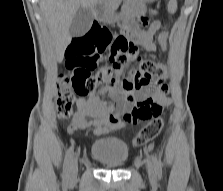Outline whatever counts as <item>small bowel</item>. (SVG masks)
Returning <instances> with one entry per match:
<instances>
[{
  "mask_svg": "<svg viewBox=\"0 0 223 191\" xmlns=\"http://www.w3.org/2000/svg\"><path fill=\"white\" fill-rule=\"evenodd\" d=\"M92 27L102 26L97 24ZM159 27V22L153 21L141 32L125 29L124 34H131L153 57L156 50L153 37ZM162 79H153L150 84L134 89L125 87L132 79L98 86L87 96L77 99V112L68 126V132L72 134L92 129L96 136H101L121 130L126 122L136 124L149 119L153 115V108H161L170 103L166 95L168 86L162 83ZM106 95H109L111 100H105Z\"/></svg>",
  "mask_w": 223,
  "mask_h": 191,
  "instance_id": "obj_1",
  "label": "small bowel"
}]
</instances>
